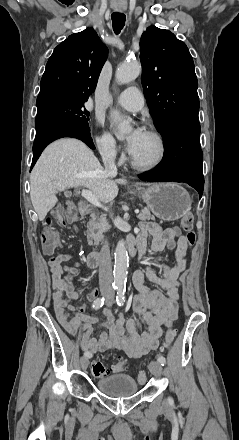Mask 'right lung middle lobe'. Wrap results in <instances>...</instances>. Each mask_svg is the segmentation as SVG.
<instances>
[{"mask_svg": "<svg viewBox=\"0 0 239 440\" xmlns=\"http://www.w3.org/2000/svg\"><path fill=\"white\" fill-rule=\"evenodd\" d=\"M86 98L55 96L37 104L36 122L48 119L58 118L89 128V112L83 109Z\"/></svg>", "mask_w": 239, "mask_h": 440, "instance_id": "1", "label": "right lung middle lobe"}]
</instances>
